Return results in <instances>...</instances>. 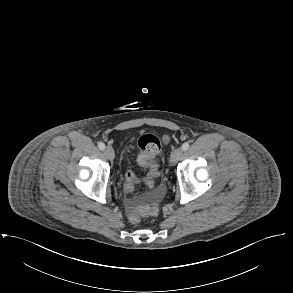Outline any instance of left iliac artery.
<instances>
[{
    "mask_svg": "<svg viewBox=\"0 0 293 293\" xmlns=\"http://www.w3.org/2000/svg\"><path fill=\"white\" fill-rule=\"evenodd\" d=\"M188 148H189V142H184V143L182 144V150H183V151H186V150H188Z\"/></svg>",
    "mask_w": 293,
    "mask_h": 293,
    "instance_id": "obj_1",
    "label": "left iliac artery"
}]
</instances>
